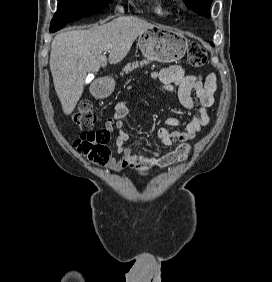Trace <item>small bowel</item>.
<instances>
[{
  "label": "small bowel",
  "instance_id": "small-bowel-1",
  "mask_svg": "<svg viewBox=\"0 0 272 282\" xmlns=\"http://www.w3.org/2000/svg\"><path fill=\"white\" fill-rule=\"evenodd\" d=\"M163 84L166 91L177 89V95L182 106L195 111L191 120L187 123L186 130L178 129L170 131L168 127H177L181 123L179 117H169L165 121V127L158 131V137L161 140L164 150H153L140 143L136 151H132L130 145L133 140L123 130V122L130 113L127 104L129 101L118 104L112 116L106 121L107 129L114 127L118 131L116 140V152L120 155L118 158L111 159L106 168L113 172H120L127 168L138 166H150L166 168L186 161L191 153L189 141L194 139L210 121L209 109L214 104V93L216 91V75L210 73L207 76L192 75L180 66H168L160 70L158 74L151 77ZM194 92L193 97L191 93ZM175 143L178 145L172 151L167 149Z\"/></svg>",
  "mask_w": 272,
  "mask_h": 282
}]
</instances>
